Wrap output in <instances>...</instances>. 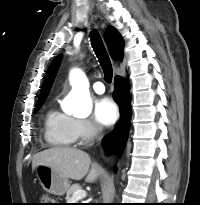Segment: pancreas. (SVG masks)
<instances>
[{
	"label": "pancreas",
	"instance_id": "pancreas-1",
	"mask_svg": "<svg viewBox=\"0 0 200 205\" xmlns=\"http://www.w3.org/2000/svg\"><path fill=\"white\" fill-rule=\"evenodd\" d=\"M82 190V187L79 184H73L67 191L66 194V201L67 203H72L73 194L78 191Z\"/></svg>",
	"mask_w": 200,
	"mask_h": 205
}]
</instances>
